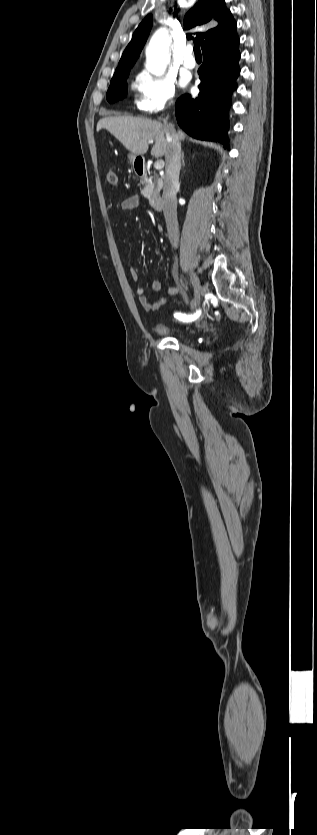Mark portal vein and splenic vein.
Here are the masks:
<instances>
[{
    "instance_id": "obj_1",
    "label": "portal vein and splenic vein",
    "mask_w": 317,
    "mask_h": 835,
    "mask_svg": "<svg viewBox=\"0 0 317 835\" xmlns=\"http://www.w3.org/2000/svg\"><path fill=\"white\" fill-rule=\"evenodd\" d=\"M151 142H153V140H151ZM163 167H164V161L163 160H158L154 164L155 169H161Z\"/></svg>"
}]
</instances>
